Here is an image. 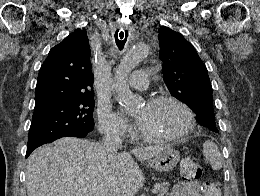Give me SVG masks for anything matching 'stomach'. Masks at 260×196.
<instances>
[{"label":"stomach","instance_id":"obj_1","mask_svg":"<svg viewBox=\"0 0 260 196\" xmlns=\"http://www.w3.org/2000/svg\"><path fill=\"white\" fill-rule=\"evenodd\" d=\"M180 162V152L174 150L172 146H164L161 154H157L156 158L149 160V168H153L156 172H170L176 168Z\"/></svg>","mask_w":260,"mask_h":196}]
</instances>
